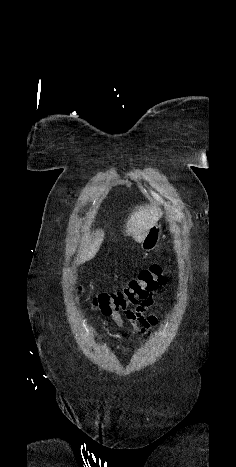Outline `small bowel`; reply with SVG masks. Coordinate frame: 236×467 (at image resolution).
Segmentation results:
<instances>
[{
	"label": "small bowel",
	"mask_w": 236,
	"mask_h": 467,
	"mask_svg": "<svg viewBox=\"0 0 236 467\" xmlns=\"http://www.w3.org/2000/svg\"><path fill=\"white\" fill-rule=\"evenodd\" d=\"M152 305L153 297L149 296L138 304L135 309L127 308L123 311V315L132 324L134 330L146 336L152 334V328L157 324V317L155 315H146L147 309ZM111 319L116 326H122V314L112 313Z\"/></svg>",
	"instance_id": "c3829d8e"
}]
</instances>
